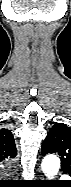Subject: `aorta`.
I'll return each instance as SVG.
<instances>
[{
    "label": "aorta",
    "mask_w": 71,
    "mask_h": 187,
    "mask_svg": "<svg viewBox=\"0 0 71 187\" xmlns=\"http://www.w3.org/2000/svg\"><path fill=\"white\" fill-rule=\"evenodd\" d=\"M43 173L48 179H53L60 168V159L57 155L49 154L44 157L41 163Z\"/></svg>",
    "instance_id": "aorta-1"
}]
</instances>
